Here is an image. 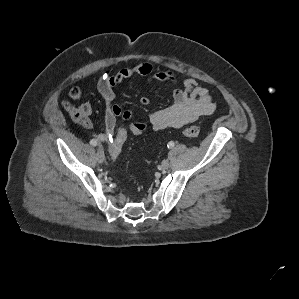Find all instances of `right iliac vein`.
<instances>
[{
    "label": "right iliac vein",
    "mask_w": 299,
    "mask_h": 299,
    "mask_svg": "<svg viewBox=\"0 0 299 299\" xmlns=\"http://www.w3.org/2000/svg\"><path fill=\"white\" fill-rule=\"evenodd\" d=\"M97 160L99 163H103L105 160V155L102 149H99L97 152Z\"/></svg>",
    "instance_id": "1"
}]
</instances>
